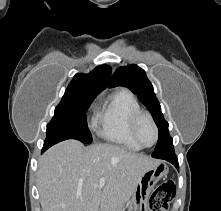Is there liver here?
I'll return each instance as SVG.
<instances>
[{"mask_svg": "<svg viewBox=\"0 0 221 211\" xmlns=\"http://www.w3.org/2000/svg\"><path fill=\"white\" fill-rule=\"evenodd\" d=\"M157 162L116 145L85 147L66 140L39 160L37 186L42 211L111 210L112 202L132 196L140 173ZM106 179L103 188L99 180Z\"/></svg>", "mask_w": 221, "mask_h": 211, "instance_id": "obj_1", "label": "liver"}]
</instances>
